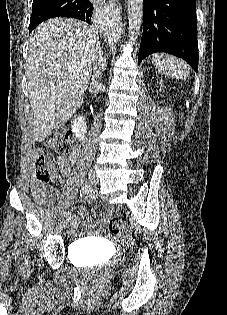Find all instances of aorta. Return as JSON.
Here are the masks:
<instances>
[{"instance_id": "1", "label": "aorta", "mask_w": 227, "mask_h": 315, "mask_svg": "<svg viewBox=\"0 0 227 315\" xmlns=\"http://www.w3.org/2000/svg\"><path fill=\"white\" fill-rule=\"evenodd\" d=\"M128 3V38L135 41L138 38L142 18H143V0H127ZM106 35L111 40H118L120 34L113 22H108L104 28Z\"/></svg>"}]
</instances>
